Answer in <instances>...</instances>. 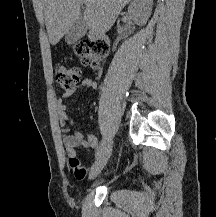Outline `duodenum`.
I'll return each instance as SVG.
<instances>
[{
	"label": "duodenum",
	"instance_id": "410a0bca",
	"mask_svg": "<svg viewBox=\"0 0 216 217\" xmlns=\"http://www.w3.org/2000/svg\"><path fill=\"white\" fill-rule=\"evenodd\" d=\"M89 37L92 40H97V41H107V36L104 33L97 32V31H90L89 32Z\"/></svg>",
	"mask_w": 216,
	"mask_h": 217
}]
</instances>
